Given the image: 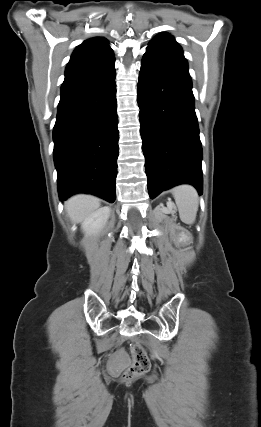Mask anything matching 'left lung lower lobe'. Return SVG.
<instances>
[{
    "label": "left lung lower lobe",
    "mask_w": 261,
    "mask_h": 427,
    "mask_svg": "<svg viewBox=\"0 0 261 427\" xmlns=\"http://www.w3.org/2000/svg\"><path fill=\"white\" fill-rule=\"evenodd\" d=\"M138 105L150 198L182 183L201 195L202 147L187 62L147 49Z\"/></svg>",
    "instance_id": "1"
}]
</instances>
